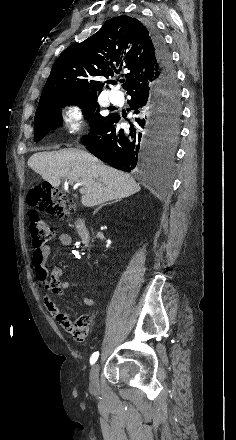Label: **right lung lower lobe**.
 <instances>
[{
  "instance_id": "1",
  "label": "right lung lower lobe",
  "mask_w": 236,
  "mask_h": 440,
  "mask_svg": "<svg viewBox=\"0 0 236 440\" xmlns=\"http://www.w3.org/2000/svg\"><path fill=\"white\" fill-rule=\"evenodd\" d=\"M159 64V78L150 85L128 93L130 110L135 114L129 130L119 128L121 117L113 113L82 137V144L93 155L116 169L144 171L160 161L163 148L158 134L168 106L157 92L158 86L177 84L173 62L163 37L153 25L147 26ZM178 85V84H177Z\"/></svg>"
}]
</instances>
